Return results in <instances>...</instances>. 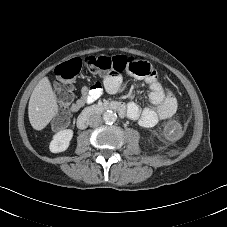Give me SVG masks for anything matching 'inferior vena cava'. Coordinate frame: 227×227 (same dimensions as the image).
I'll return each mask as SVG.
<instances>
[{"instance_id":"inferior-vena-cava-1","label":"inferior vena cava","mask_w":227,"mask_h":227,"mask_svg":"<svg viewBox=\"0 0 227 227\" xmlns=\"http://www.w3.org/2000/svg\"><path fill=\"white\" fill-rule=\"evenodd\" d=\"M102 123V117L100 115H92L90 118H89V125L91 127H97L99 125H101Z\"/></svg>"}]
</instances>
